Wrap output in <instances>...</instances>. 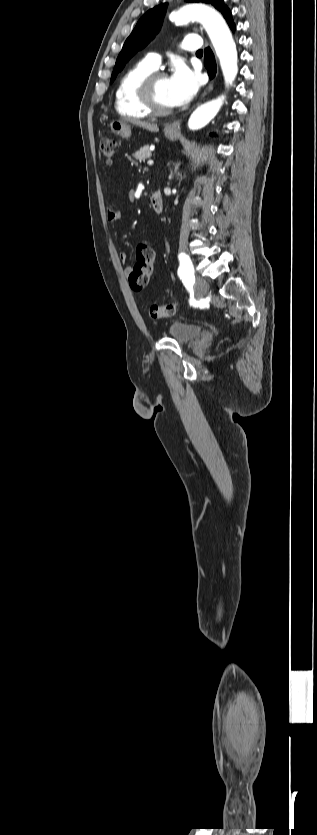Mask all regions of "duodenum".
<instances>
[{
  "label": "duodenum",
  "instance_id": "410a0bca",
  "mask_svg": "<svg viewBox=\"0 0 317 835\" xmlns=\"http://www.w3.org/2000/svg\"><path fill=\"white\" fill-rule=\"evenodd\" d=\"M150 204L156 213H161L163 210V197L160 191H155L150 197Z\"/></svg>",
  "mask_w": 317,
  "mask_h": 835
}]
</instances>
